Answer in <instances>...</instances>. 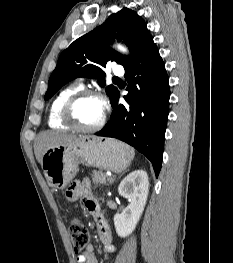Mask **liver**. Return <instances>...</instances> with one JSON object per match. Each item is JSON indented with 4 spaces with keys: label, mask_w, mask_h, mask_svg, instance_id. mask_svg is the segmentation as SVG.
Instances as JSON below:
<instances>
[{
    "label": "liver",
    "mask_w": 233,
    "mask_h": 263,
    "mask_svg": "<svg viewBox=\"0 0 233 263\" xmlns=\"http://www.w3.org/2000/svg\"><path fill=\"white\" fill-rule=\"evenodd\" d=\"M76 136L58 131H43L38 134L34 141V153L37 161L41 164L42 156L48 148L58 146L61 143L75 139Z\"/></svg>",
    "instance_id": "1"
}]
</instances>
